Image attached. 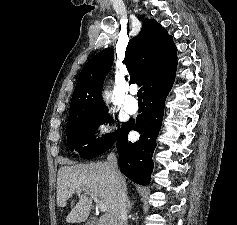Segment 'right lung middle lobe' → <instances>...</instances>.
Wrapping results in <instances>:
<instances>
[{
    "label": "right lung middle lobe",
    "mask_w": 237,
    "mask_h": 225,
    "mask_svg": "<svg viewBox=\"0 0 237 225\" xmlns=\"http://www.w3.org/2000/svg\"><path fill=\"white\" fill-rule=\"evenodd\" d=\"M109 120H111V117L108 115V110L91 116L70 111L66 127L67 143L70 151L75 150L82 158L92 159L109 150L126 126V123H123L122 127L113 134L94 140L95 130L100 124Z\"/></svg>",
    "instance_id": "1"
}]
</instances>
